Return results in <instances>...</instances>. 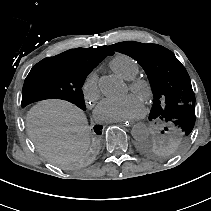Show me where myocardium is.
<instances>
[{
    "mask_svg": "<svg viewBox=\"0 0 211 211\" xmlns=\"http://www.w3.org/2000/svg\"><path fill=\"white\" fill-rule=\"evenodd\" d=\"M129 89L131 92L141 95L146 104H152L154 99V91L149 80L135 77L129 80Z\"/></svg>",
    "mask_w": 211,
    "mask_h": 211,
    "instance_id": "f54148a6",
    "label": "myocardium"
}]
</instances>
